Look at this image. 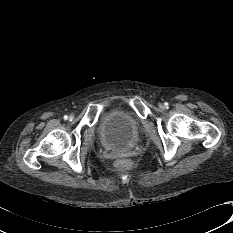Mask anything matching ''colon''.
<instances>
[{
    "label": "colon",
    "mask_w": 233,
    "mask_h": 233,
    "mask_svg": "<svg viewBox=\"0 0 233 233\" xmlns=\"http://www.w3.org/2000/svg\"><path fill=\"white\" fill-rule=\"evenodd\" d=\"M117 167H125L126 165V161L125 160H118L117 163H116Z\"/></svg>",
    "instance_id": "1"
}]
</instances>
